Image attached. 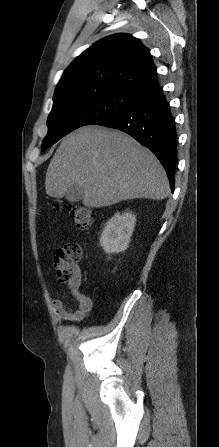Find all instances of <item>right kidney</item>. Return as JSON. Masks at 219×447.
Instances as JSON below:
<instances>
[{
	"label": "right kidney",
	"mask_w": 219,
	"mask_h": 447,
	"mask_svg": "<svg viewBox=\"0 0 219 447\" xmlns=\"http://www.w3.org/2000/svg\"><path fill=\"white\" fill-rule=\"evenodd\" d=\"M136 224V215L132 212L116 213L107 222L100 237V243L106 253H119L128 248L130 237Z\"/></svg>",
	"instance_id": "ca27d5eb"
}]
</instances>
